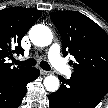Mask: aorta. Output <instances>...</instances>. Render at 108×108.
<instances>
[{"instance_id": "762f6f07", "label": "aorta", "mask_w": 108, "mask_h": 108, "mask_svg": "<svg viewBox=\"0 0 108 108\" xmlns=\"http://www.w3.org/2000/svg\"><path fill=\"white\" fill-rule=\"evenodd\" d=\"M31 42L40 47H45L51 44L53 35L49 27L37 24L31 27L29 31ZM44 86L47 91L55 92L60 86L59 79L54 75H49L44 79Z\"/></svg>"}]
</instances>
